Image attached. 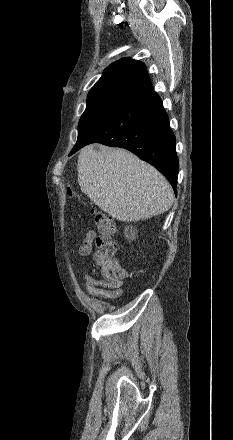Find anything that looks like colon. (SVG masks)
I'll return each instance as SVG.
<instances>
[{
	"mask_svg": "<svg viewBox=\"0 0 233 440\" xmlns=\"http://www.w3.org/2000/svg\"><path fill=\"white\" fill-rule=\"evenodd\" d=\"M68 194L73 195L69 188ZM94 216L100 233V236L95 240L97 250L94 259L100 268L101 274L112 286H116L123 279L128 278L130 273L114 259V254L117 251V243L112 239L115 233V225L112 217L102 211L95 210Z\"/></svg>",
	"mask_w": 233,
	"mask_h": 440,
	"instance_id": "5ec220e1",
	"label": "colon"
}]
</instances>
